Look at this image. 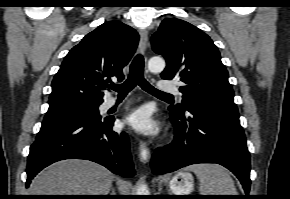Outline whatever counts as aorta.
Returning <instances> with one entry per match:
<instances>
[{
    "label": "aorta",
    "mask_w": 290,
    "mask_h": 199,
    "mask_svg": "<svg viewBox=\"0 0 290 199\" xmlns=\"http://www.w3.org/2000/svg\"><path fill=\"white\" fill-rule=\"evenodd\" d=\"M165 68V61L161 57H152L148 61V70L152 73L162 72ZM137 195H149V189L142 183L137 188Z\"/></svg>",
    "instance_id": "obj_1"
}]
</instances>
